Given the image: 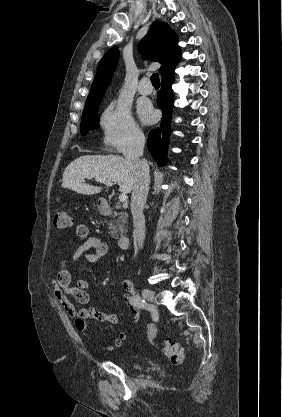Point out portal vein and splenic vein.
Returning <instances> with one entry per match:
<instances>
[{
	"label": "portal vein and splenic vein",
	"mask_w": 282,
	"mask_h": 417,
	"mask_svg": "<svg viewBox=\"0 0 282 417\" xmlns=\"http://www.w3.org/2000/svg\"><path fill=\"white\" fill-rule=\"evenodd\" d=\"M95 180H97V182H103V184H108V186H112L113 184L111 180H106V178H95ZM127 198V192H122V194H119V200H121V202H125Z\"/></svg>",
	"instance_id": "portal-vein-and-splenic-vein-1"
}]
</instances>
